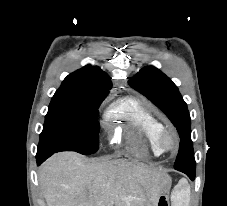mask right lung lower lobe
<instances>
[{
  "label": "right lung lower lobe",
  "instance_id": "right-lung-lower-lobe-1",
  "mask_svg": "<svg viewBox=\"0 0 227 206\" xmlns=\"http://www.w3.org/2000/svg\"><path fill=\"white\" fill-rule=\"evenodd\" d=\"M53 153H39L36 155L37 165L39 166L42 162H44L48 157H50Z\"/></svg>",
  "mask_w": 227,
  "mask_h": 206
}]
</instances>
